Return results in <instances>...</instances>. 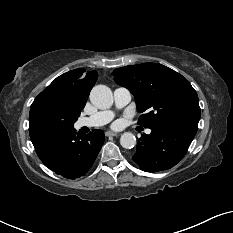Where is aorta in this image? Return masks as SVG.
<instances>
[{
	"mask_svg": "<svg viewBox=\"0 0 233 233\" xmlns=\"http://www.w3.org/2000/svg\"><path fill=\"white\" fill-rule=\"evenodd\" d=\"M91 103L99 109L110 108L113 104V95L109 87L96 85L90 92ZM120 144L123 148L131 149L136 145V137L130 132H125L120 137Z\"/></svg>",
	"mask_w": 233,
	"mask_h": 233,
	"instance_id": "1",
	"label": "aorta"
}]
</instances>
